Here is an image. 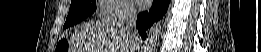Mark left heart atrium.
Instances as JSON below:
<instances>
[{
	"label": "left heart atrium",
	"mask_w": 261,
	"mask_h": 52,
	"mask_svg": "<svg viewBox=\"0 0 261 52\" xmlns=\"http://www.w3.org/2000/svg\"><path fill=\"white\" fill-rule=\"evenodd\" d=\"M138 4L140 5V7L146 8V7H148L149 2L146 1V0H139V1H138Z\"/></svg>",
	"instance_id": "1"
}]
</instances>
